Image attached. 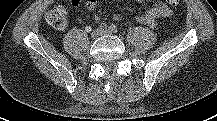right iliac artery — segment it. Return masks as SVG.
Returning a JSON list of instances; mask_svg holds the SVG:
<instances>
[{
  "label": "right iliac artery",
  "instance_id": "obj_1",
  "mask_svg": "<svg viewBox=\"0 0 217 121\" xmlns=\"http://www.w3.org/2000/svg\"><path fill=\"white\" fill-rule=\"evenodd\" d=\"M99 29L100 30H106L107 29V24L106 23H101L100 25H99Z\"/></svg>",
  "mask_w": 217,
  "mask_h": 121
}]
</instances>
